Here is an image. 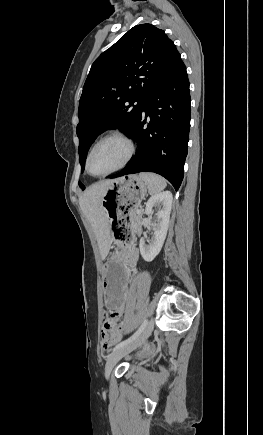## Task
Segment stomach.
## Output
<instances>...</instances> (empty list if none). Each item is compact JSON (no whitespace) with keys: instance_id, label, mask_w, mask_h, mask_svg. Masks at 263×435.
I'll return each instance as SVG.
<instances>
[{"instance_id":"1","label":"stomach","mask_w":263,"mask_h":435,"mask_svg":"<svg viewBox=\"0 0 263 435\" xmlns=\"http://www.w3.org/2000/svg\"><path fill=\"white\" fill-rule=\"evenodd\" d=\"M147 185L137 175L118 178L106 189L102 197L105 218L109 222V233H113L116 247H131L136 224H126L134 218V209L147 193ZM131 264L126 258H109L104 265L103 310H118L119 305H127L130 299L128 283L135 277L131 274Z\"/></svg>"}]
</instances>
